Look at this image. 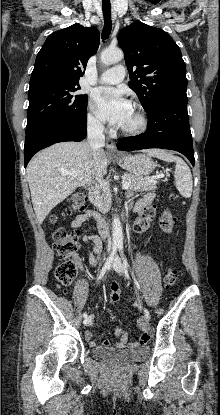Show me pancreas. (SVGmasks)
<instances>
[{
  "label": "pancreas",
  "mask_w": 220,
  "mask_h": 415,
  "mask_svg": "<svg viewBox=\"0 0 220 415\" xmlns=\"http://www.w3.org/2000/svg\"><path fill=\"white\" fill-rule=\"evenodd\" d=\"M122 179L123 183L131 182L129 189L133 191H154L157 188L155 182L148 181L143 177L125 174ZM89 197L91 203L101 212L105 213L109 210L111 206V194L107 188L103 186L96 187L90 192Z\"/></svg>",
  "instance_id": "1"
}]
</instances>
